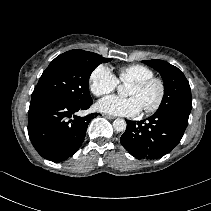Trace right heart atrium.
Instances as JSON below:
<instances>
[{
	"mask_svg": "<svg viewBox=\"0 0 211 211\" xmlns=\"http://www.w3.org/2000/svg\"><path fill=\"white\" fill-rule=\"evenodd\" d=\"M119 81L106 65L96 66L88 78L89 89L97 97L110 94L116 90Z\"/></svg>",
	"mask_w": 211,
	"mask_h": 211,
	"instance_id": "1",
	"label": "right heart atrium"
}]
</instances>
